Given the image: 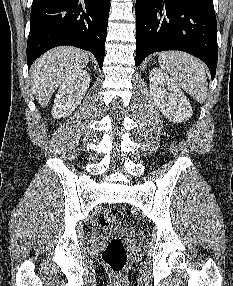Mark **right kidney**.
I'll list each match as a JSON object with an SVG mask.
<instances>
[{
	"label": "right kidney",
	"instance_id": "ca27d5eb",
	"mask_svg": "<svg viewBox=\"0 0 233 286\" xmlns=\"http://www.w3.org/2000/svg\"><path fill=\"white\" fill-rule=\"evenodd\" d=\"M90 83V75L86 70L72 73L61 85L56 94L52 108L54 118L69 116L80 104Z\"/></svg>",
	"mask_w": 233,
	"mask_h": 286
}]
</instances>
